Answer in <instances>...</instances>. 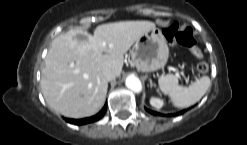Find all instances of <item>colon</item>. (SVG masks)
I'll use <instances>...</instances> for the list:
<instances>
[{"instance_id":"obj_1","label":"colon","mask_w":247,"mask_h":145,"mask_svg":"<svg viewBox=\"0 0 247 145\" xmlns=\"http://www.w3.org/2000/svg\"><path fill=\"white\" fill-rule=\"evenodd\" d=\"M163 34L170 43H178L185 46L196 58H202V51L198 47L196 38L190 28L180 29L179 24L174 22L164 29ZM197 70L202 74L207 73L209 65L205 61H201L197 65Z\"/></svg>"}]
</instances>
